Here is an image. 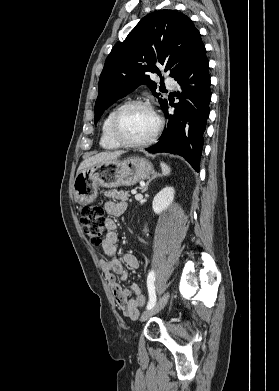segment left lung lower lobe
Masks as SVG:
<instances>
[{"instance_id": "left-lung-lower-lobe-1", "label": "left lung lower lobe", "mask_w": 279, "mask_h": 391, "mask_svg": "<svg viewBox=\"0 0 279 391\" xmlns=\"http://www.w3.org/2000/svg\"><path fill=\"white\" fill-rule=\"evenodd\" d=\"M205 47L197 53L188 69L176 81L181 92H176L180 101L174 106V114L163 108L169 119L160 141L147 148L151 153L167 152L183 156L195 171H200V157L204 143V132L209 117L211 100L210 76Z\"/></svg>"}]
</instances>
